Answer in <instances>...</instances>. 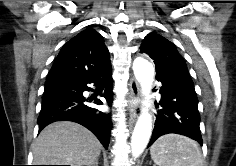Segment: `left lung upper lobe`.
Wrapping results in <instances>:
<instances>
[{
  "instance_id": "left-lung-upper-lobe-1",
  "label": "left lung upper lobe",
  "mask_w": 236,
  "mask_h": 166,
  "mask_svg": "<svg viewBox=\"0 0 236 166\" xmlns=\"http://www.w3.org/2000/svg\"><path fill=\"white\" fill-rule=\"evenodd\" d=\"M140 51L148 54L154 60L156 75L177 68L187 69L175 45L155 32H151L145 37Z\"/></svg>"
}]
</instances>
